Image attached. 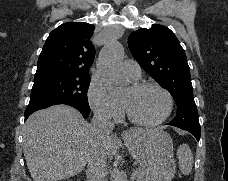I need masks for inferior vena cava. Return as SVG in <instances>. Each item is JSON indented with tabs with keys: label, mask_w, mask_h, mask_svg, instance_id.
<instances>
[{
	"label": "inferior vena cava",
	"mask_w": 228,
	"mask_h": 181,
	"mask_svg": "<svg viewBox=\"0 0 228 181\" xmlns=\"http://www.w3.org/2000/svg\"><path fill=\"white\" fill-rule=\"evenodd\" d=\"M92 117L91 133L94 135L97 143L90 151V157L87 161L88 167L86 171L87 181H105V169L107 151L104 147H100L103 139H109L114 129V123L111 121V115L108 111H103L102 107L94 109Z\"/></svg>",
	"instance_id": "602c4592"
}]
</instances>
